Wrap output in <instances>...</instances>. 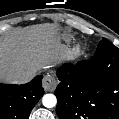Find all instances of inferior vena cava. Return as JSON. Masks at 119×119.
Instances as JSON below:
<instances>
[{"label":"inferior vena cava","mask_w":119,"mask_h":119,"mask_svg":"<svg viewBox=\"0 0 119 119\" xmlns=\"http://www.w3.org/2000/svg\"><path fill=\"white\" fill-rule=\"evenodd\" d=\"M35 75L32 73H23V74H19L16 75L12 78V80L10 81V83L13 84H24L27 83L29 81H31L33 79Z\"/></svg>","instance_id":"1"}]
</instances>
